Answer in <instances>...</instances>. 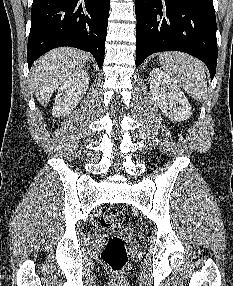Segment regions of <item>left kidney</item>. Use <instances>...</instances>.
<instances>
[{
	"label": "left kidney",
	"mask_w": 233,
	"mask_h": 286,
	"mask_svg": "<svg viewBox=\"0 0 233 286\" xmlns=\"http://www.w3.org/2000/svg\"><path fill=\"white\" fill-rule=\"evenodd\" d=\"M149 79L153 99L165 116L179 122L190 118V103L172 78L161 69L154 68Z\"/></svg>",
	"instance_id": "obj_1"
}]
</instances>
